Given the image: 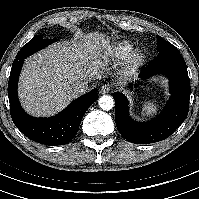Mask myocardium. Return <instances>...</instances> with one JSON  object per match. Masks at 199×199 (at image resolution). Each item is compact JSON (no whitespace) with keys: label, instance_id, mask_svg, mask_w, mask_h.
<instances>
[{"label":"myocardium","instance_id":"myocardium-1","mask_svg":"<svg viewBox=\"0 0 199 199\" xmlns=\"http://www.w3.org/2000/svg\"><path fill=\"white\" fill-rule=\"evenodd\" d=\"M142 60V53L139 50H132L125 58L123 68L126 72H133L141 65Z\"/></svg>","mask_w":199,"mask_h":199}]
</instances>
